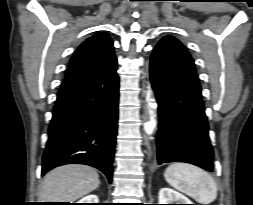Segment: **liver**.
I'll return each mask as SVG.
<instances>
[{"instance_id": "obj_1", "label": "liver", "mask_w": 253, "mask_h": 205, "mask_svg": "<svg viewBox=\"0 0 253 205\" xmlns=\"http://www.w3.org/2000/svg\"><path fill=\"white\" fill-rule=\"evenodd\" d=\"M100 184L95 169L85 165H65L48 172L42 182V202L75 201L95 190Z\"/></svg>"}]
</instances>
